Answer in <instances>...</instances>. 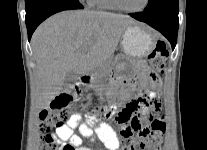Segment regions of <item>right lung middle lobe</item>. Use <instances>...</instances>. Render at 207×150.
Segmentation results:
<instances>
[{
    "instance_id": "dd1d6c3e",
    "label": "right lung middle lobe",
    "mask_w": 207,
    "mask_h": 150,
    "mask_svg": "<svg viewBox=\"0 0 207 150\" xmlns=\"http://www.w3.org/2000/svg\"><path fill=\"white\" fill-rule=\"evenodd\" d=\"M40 0H25L26 7H30L32 5H35L38 3Z\"/></svg>"
}]
</instances>
